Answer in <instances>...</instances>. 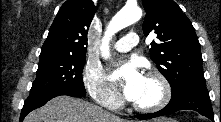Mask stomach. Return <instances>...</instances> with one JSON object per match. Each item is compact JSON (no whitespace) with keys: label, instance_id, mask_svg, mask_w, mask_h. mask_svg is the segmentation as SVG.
<instances>
[{"label":"stomach","instance_id":"0dacf381","mask_svg":"<svg viewBox=\"0 0 221 122\" xmlns=\"http://www.w3.org/2000/svg\"><path fill=\"white\" fill-rule=\"evenodd\" d=\"M152 122H176V121L172 120V119H169V118H159V119H156Z\"/></svg>","mask_w":221,"mask_h":122}]
</instances>
